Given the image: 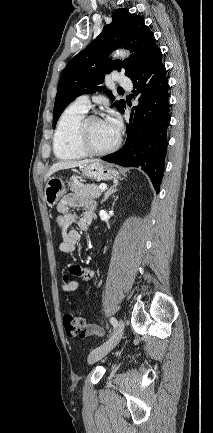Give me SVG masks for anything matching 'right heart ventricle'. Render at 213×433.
Masks as SVG:
<instances>
[{
	"label": "right heart ventricle",
	"mask_w": 213,
	"mask_h": 433,
	"mask_svg": "<svg viewBox=\"0 0 213 433\" xmlns=\"http://www.w3.org/2000/svg\"><path fill=\"white\" fill-rule=\"evenodd\" d=\"M87 110L70 105L61 115L53 139V151L61 160L80 159L86 154L76 143V129Z\"/></svg>",
	"instance_id": "right-heart-ventricle-1"
}]
</instances>
